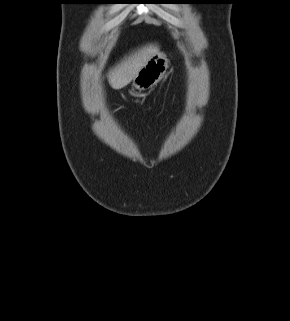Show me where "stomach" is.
Returning <instances> with one entry per match:
<instances>
[{
  "instance_id": "obj_1",
  "label": "stomach",
  "mask_w": 290,
  "mask_h": 321,
  "mask_svg": "<svg viewBox=\"0 0 290 321\" xmlns=\"http://www.w3.org/2000/svg\"><path fill=\"white\" fill-rule=\"evenodd\" d=\"M168 59L163 53H155L144 67L133 78V87L139 91L150 89L157 85L168 69Z\"/></svg>"
}]
</instances>
